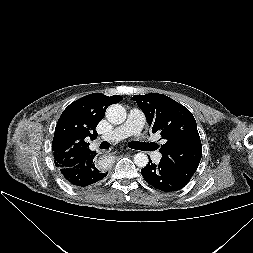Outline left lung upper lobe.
<instances>
[{"mask_svg":"<svg viewBox=\"0 0 253 253\" xmlns=\"http://www.w3.org/2000/svg\"><path fill=\"white\" fill-rule=\"evenodd\" d=\"M145 113L152 133H160L166 143L161 145L160 162L173 173L189 181L198 168L202 145L192 113L175 100L157 93L134 95Z\"/></svg>","mask_w":253,"mask_h":253,"instance_id":"1","label":"left lung upper lobe"}]
</instances>
